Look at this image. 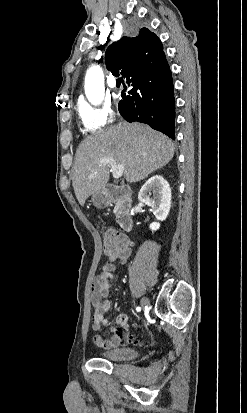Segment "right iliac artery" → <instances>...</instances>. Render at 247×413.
Returning <instances> with one entry per match:
<instances>
[{"label": "right iliac artery", "mask_w": 247, "mask_h": 413, "mask_svg": "<svg viewBox=\"0 0 247 413\" xmlns=\"http://www.w3.org/2000/svg\"><path fill=\"white\" fill-rule=\"evenodd\" d=\"M136 310H137V311H140V310H141V308H140V307H137V308H136Z\"/></svg>", "instance_id": "right-iliac-artery-1"}]
</instances>
